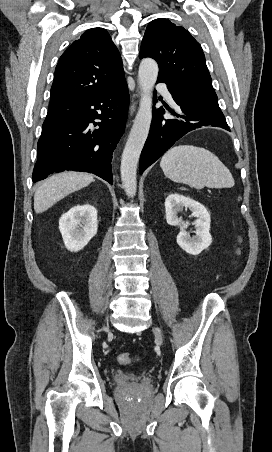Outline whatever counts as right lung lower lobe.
I'll list each match as a JSON object with an SVG mask.
<instances>
[{"label": "right lung lower lobe", "instance_id": "98d812e1", "mask_svg": "<svg viewBox=\"0 0 272 452\" xmlns=\"http://www.w3.org/2000/svg\"><path fill=\"white\" fill-rule=\"evenodd\" d=\"M128 105L123 80L70 109L48 112L37 144L33 182L53 172L73 170L93 173L113 184L111 159L125 129ZM92 124L99 128L93 129Z\"/></svg>", "mask_w": 272, "mask_h": 452}]
</instances>
